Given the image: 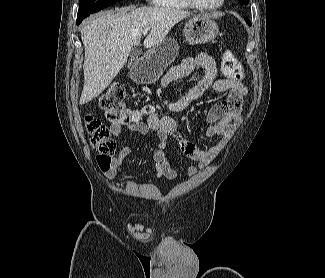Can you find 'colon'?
I'll return each mask as SVG.
<instances>
[{
  "label": "colon",
  "instance_id": "5ec220e1",
  "mask_svg": "<svg viewBox=\"0 0 325 278\" xmlns=\"http://www.w3.org/2000/svg\"><path fill=\"white\" fill-rule=\"evenodd\" d=\"M222 69L224 75L232 81H240L243 78V67L237 57L225 50L222 55ZM126 90L122 85H112L98 97L99 107L105 112L111 123L127 125L138 122L144 114H152L158 108L148 105L143 109H131L126 104ZM85 124L90 135L92 146L97 151V164L100 169H109L112 156L116 151V143L111 136L109 128L100 120L88 115Z\"/></svg>",
  "mask_w": 325,
  "mask_h": 278
}]
</instances>
